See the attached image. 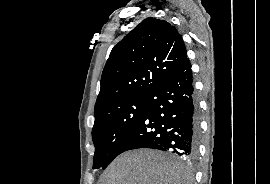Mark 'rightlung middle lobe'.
<instances>
[{
  "label": "right lung middle lobe",
  "mask_w": 270,
  "mask_h": 184,
  "mask_svg": "<svg viewBox=\"0 0 270 184\" xmlns=\"http://www.w3.org/2000/svg\"><path fill=\"white\" fill-rule=\"evenodd\" d=\"M146 108L147 96L134 97L107 109L95 120L93 169H105L119 155V149L144 116Z\"/></svg>",
  "instance_id": "right-lung-middle-lobe-1"
}]
</instances>
